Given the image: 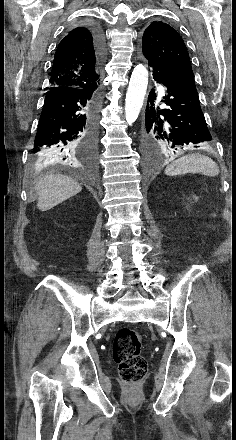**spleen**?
Masks as SVG:
<instances>
[{
    "instance_id": "obj_1",
    "label": "spleen",
    "mask_w": 236,
    "mask_h": 440,
    "mask_svg": "<svg viewBox=\"0 0 236 440\" xmlns=\"http://www.w3.org/2000/svg\"><path fill=\"white\" fill-rule=\"evenodd\" d=\"M168 176L184 175L186 173H203L215 177L220 173L219 167L213 159L201 154H191L181 157L165 168Z\"/></svg>"
}]
</instances>
